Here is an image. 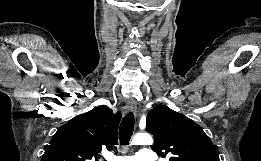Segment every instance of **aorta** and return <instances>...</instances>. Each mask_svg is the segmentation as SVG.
Instances as JSON below:
<instances>
[{
	"label": "aorta",
	"mask_w": 261,
	"mask_h": 161,
	"mask_svg": "<svg viewBox=\"0 0 261 161\" xmlns=\"http://www.w3.org/2000/svg\"><path fill=\"white\" fill-rule=\"evenodd\" d=\"M153 143L152 137L148 133H137L133 140V145H151Z\"/></svg>",
	"instance_id": "aorta-1"
}]
</instances>
